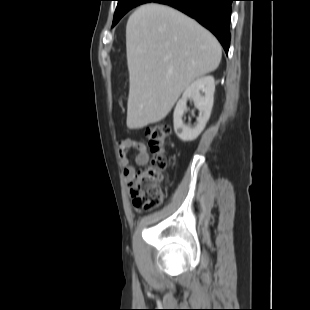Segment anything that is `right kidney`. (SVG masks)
<instances>
[{
    "instance_id": "ca27d5eb",
    "label": "right kidney",
    "mask_w": 310,
    "mask_h": 310,
    "mask_svg": "<svg viewBox=\"0 0 310 310\" xmlns=\"http://www.w3.org/2000/svg\"><path fill=\"white\" fill-rule=\"evenodd\" d=\"M204 95H202V93ZM215 92L213 76H203L192 82L184 91L176 104L173 114L174 131L178 138L184 142L195 140L204 130L210 118ZM192 99L199 110V117L194 127L185 125L182 117L187 111V100Z\"/></svg>"
}]
</instances>
